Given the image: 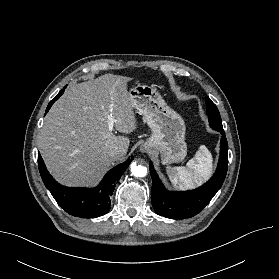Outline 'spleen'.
<instances>
[{"label":"spleen","mask_w":279,"mask_h":279,"mask_svg":"<svg viewBox=\"0 0 279 279\" xmlns=\"http://www.w3.org/2000/svg\"><path fill=\"white\" fill-rule=\"evenodd\" d=\"M212 155L205 146H200L194 158L189 160L186 167H167L171 183L180 189H190L201 179H207L212 173Z\"/></svg>","instance_id":"obj_1"}]
</instances>
